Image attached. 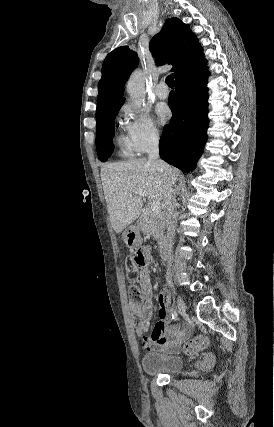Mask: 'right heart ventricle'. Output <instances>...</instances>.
Returning <instances> with one entry per match:
<instances>
[{"mask_svg":"<svg viewBox=\"0 0 274 427\" xmlns=\"http://www.w3.org/2000/svg\"><path fill=\"white\" fill-rule=\"evenodd\" d=\"M115 146H116L118 155L123 158L131 159L136 156V151L130 144L127 136L123 134L116 135Z\"/></svg>","mask_w":274,"mask_h":427,"instance_id":"e07e8e85","label":"right heart ventricle"}]
</instances>
